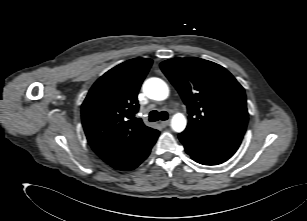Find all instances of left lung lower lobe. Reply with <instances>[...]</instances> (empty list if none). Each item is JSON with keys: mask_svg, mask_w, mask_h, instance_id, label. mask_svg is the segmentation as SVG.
<instances>
[{"mask_svg": "<svg viewBox=\"0 0 307 221\" xmlns=\"http://www.w3.org/2000/svg\"><path fill=\"white\" fill-rule=\"evenodd\" d=\"M179 139L191 158L203 165H217L233 156L241 139L213 135L186 128Z\"/></svg>", "mask_w": 307, "mask_h": 221, "instance_id": "obj_1", "label": "left lung lower lobe"}]
</instances>
